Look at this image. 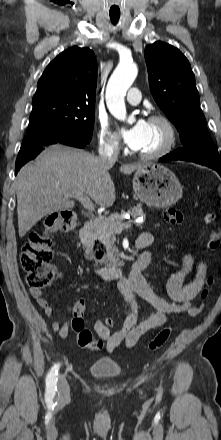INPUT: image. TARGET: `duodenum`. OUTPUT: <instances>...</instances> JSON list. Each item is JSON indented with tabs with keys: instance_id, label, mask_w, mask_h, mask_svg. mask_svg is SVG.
<instances>
[{
	"instance_id": "duodenum-1",
	"label": "duodenum",
	"mask_w": 221,
	"mask_h": 440,
	"mask_svg": "<svg viewBox=\"0 0 221 440\" xmlns=\"http://www.w3.org/2000/svg\"><path fill=\"white\" fill-rule=\"evenodd\" d=\"M95 227L94 221H88L84 224V226L80 230V238L82 241H87L90 236L93 233ZM97 260H100V257L95 258ZM150 259L149 258H143L140 261H138L134 266L138 272H141L142 270L146 269L149 266ZM121 266L119 263H112L107 266H102L97 270V273L99 276L105 278V279H115L121 274Z\"/></svg>"
}]
</instances>
